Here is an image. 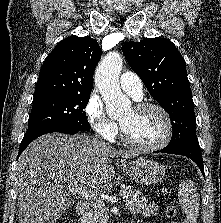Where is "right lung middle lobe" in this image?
<instances>
[{
  "mask_svg": "<svg viewBox=\"0 0 221 223\" xmlns=\"http://www.w3.org/2000/svg\"><path fill=\"white\" fill-rule=\"evenodd\" d=\"M89 99L90 93L54 95L33 99L26 134L51 127H64L80 131L90 130V124L83 110Z\"/></svg>",
  "mask_w": 221,
  "mask_h": 223,
  "instance_id": "1",
  "label": "right lung middle lobe"
}]
</instances>
